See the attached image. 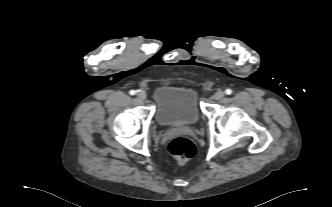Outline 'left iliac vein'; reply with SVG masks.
I'll use <instances>...</instances> for the list:
<instances>
[{"mask_svg": "<svg viewBox=\"0 0 332 207\" xmlns=\"http://www.w3.org/2000/svg\"><path fill=\"white\" fill-rule=\"evenodd\" d=\"M224 92L223 91H221V90H219V91H217L214 95H213V98L215 99V100H220V99H222L223 97H224Z\"/></svg>", "mask_w": 332, "mask_h": 207, "instance_id": "left-iliac-vein-1", "label": "left iliac vein"}]
</instances>
